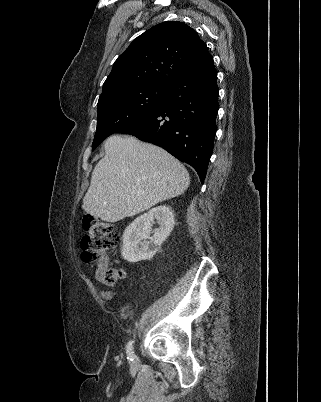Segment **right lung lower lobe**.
I'll return each instance as SVG.
<instances>
[{
  "label": "right lung lower lobe",
  "instance_id": "right-lung-lower-lobe-1",
  "mask_svg": "<svg viewBox=\"0 0 321 402\" xmlns=\"http://www.w3.org/2000/svg\"><path fill=\"white\" fill-rule=\"evenodd\" d=\"M218 91L212 63L168 85L165 100L155 110L116 133L164 148L191 165L203 183L216 133Z\"/></svg>",
  "mask_w": 321,
  "mask_h": 402
}]
</instances>
